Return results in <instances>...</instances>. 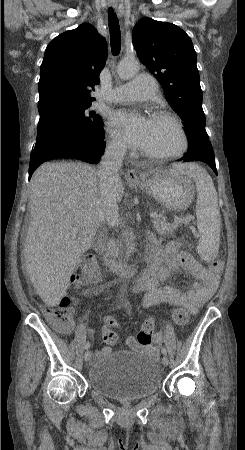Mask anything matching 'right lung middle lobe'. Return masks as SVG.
I'll return each instance as SVG.
<instances>
[{
	"instance_id": "right-lung-middle-lobe-1",
	"label": "right lung middle lobe",
	"mask_w": 245,
	"mask_h": 450,
	"mask_svg": "<svg viewBox=\"0 0 245 450\" xmlns=\"http://www.w3.org/2000/svg\"><path fill=\"white\" fill-rule=\"evenodd\" d=\"M90 105L53 104L39 110L37 139L32 152H46L64 145L99 141L102 118Z\"/></svg>"
}]
</instances>
